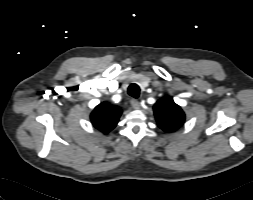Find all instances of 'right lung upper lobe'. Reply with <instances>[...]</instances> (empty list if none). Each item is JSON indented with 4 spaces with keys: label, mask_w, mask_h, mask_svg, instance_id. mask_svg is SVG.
Instances as JSON below:
<instances>
[{
    "label": "right lung upper lobe",
    "mask_w": 253,
    "mask_h": 200,
    "mask_svg": "<svg viewBox=\"0 0 253 200\" xmlns=\"http://www.w3.org/2000/svg\"><path fill=\"white\" fill-rule=\"evenodd\" d=\"M121 113L122 110L118 106L102 102L95 107L90 119L96 129L107 134L116 126Z\"/></svg>",
    "instance_id": "1"
}]
</instances>
